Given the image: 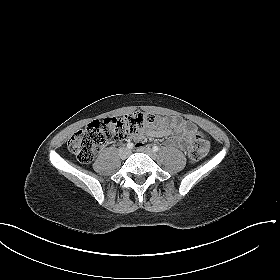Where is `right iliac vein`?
Returning a JSON list of instances; mask_svg holds the SVG:
<instances>
[{
  "label": "right iliac vein",
  "mask_w": 280,
  "mask_h": 280,
  "mask_svg": "<svg viewBox=\"0 0 280 280\" xmlns=\"http://www.w3.org/2000/svg\"><path fill=\"white\" fill-rule=\"evenodd\" d=\"M130 155V150L128 148H121L119 151V156L121 159H126Z\"/></svg>",
  "instance_id": "obj_1"
}]
</instances>
